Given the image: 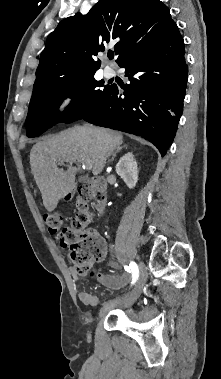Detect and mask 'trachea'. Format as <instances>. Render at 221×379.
I'll return each mask as SVG.
<instances>
[{
	"instance_id": "obj_1",
	"label": "trachea",
	"mask_w": 221,
	"mask_h": 379,
	"mask_svg": "<svg viewBox=\"0 0 221 379\" xmlns=\"http://www.w3.org/2000/svg\"><path fill=\"white\" fill-rule=\"evenodd\" d=\"M108 58H109L110 60H112V59L114 58V54H112V53L108 54Z\"/></svg>"
}]
</instances>
